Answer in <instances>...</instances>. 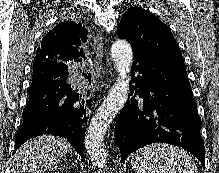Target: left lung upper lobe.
<instances>
[{
    "mask_svg": "<svg viewBox=\"0 0 219 173\" xmlns=\"http://www.w3.org/2000/svg\"><path fill=\"white\" fill-rule=\"evenodd\" d=\"M117 33L119 38L130 42L134 53L184 62L169 27L145 9H128L121 18Z\"/></svg>",
    "mask_w": 219,
    "mask_h": 173,
    "instance_id": "obj_1",
    "label": "left lung upper lobe"
}]
</instances>
